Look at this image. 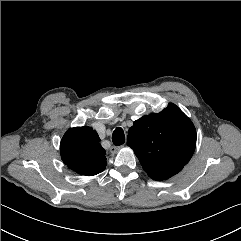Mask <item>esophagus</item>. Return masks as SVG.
Instances as JSON below:
<instances>
[{
	"mask_svg": "<svg viewBox=\"0 0 241 241\" xmlns=\"http://www.w3.org/2000/svg\"><path fill=\"white\" fill-rule=\"evenodd\" d=\"M120 148L121 146H111L109 150L111 153H116Z\"/></svg>",
	"mask_w": 241,
	"mask_h": 241,
	"instance_id": "34e87169",
	"label": "esophagus"
}]
</instances>
